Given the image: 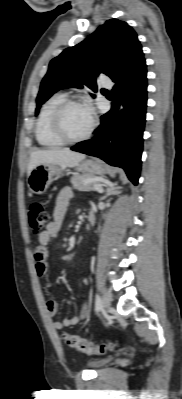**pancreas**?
<instances>
[{
	"instance_id": "pancreas-1",
	"label": "pancreas",
	"mask_w": 182,
	"mask_h": 399,
	"mask_svg": "<svg viewBox=\"0 0 182 399\" xmlns=\"http://www.w3.org/2000/svg\"><path fill=\"white\" fill-rule=\"evenodd\" d=\"M93 178L92 175L89 174H82V175H74L70 182L73 185V188L79 191H91L95 190L94 184L96 182H88Z\"/></svg>"
}]
</instances>
